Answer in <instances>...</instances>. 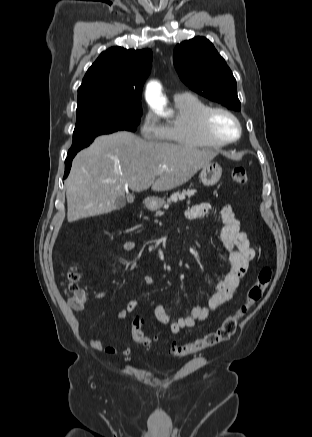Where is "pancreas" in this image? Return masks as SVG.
Returning <instances> with one entry per match:
<instances>
[{
  "label": "pancreas",
  "mask_w": 312,
  "mask_h": 437,
  "mask_svg": "<svg viewBox=\"0 0 312 437\" xmlns=\"http://www.w3.org/2000/svg\"><path fill=\"white\" fill-rule=\"evenodd\" d=\"M195 190H187L183 191L182 193L176 192L170 196V198L167 199V203L164 204V208H168L169 204L176 203L178 200H184L186 196L191 197L195 194ZM162 215L161 211H158L156 213V216Z\"/></svg>",
  "instance_id": "1"
}]
</instances>
